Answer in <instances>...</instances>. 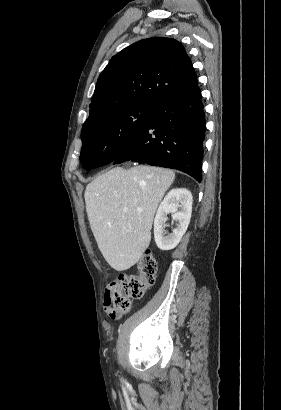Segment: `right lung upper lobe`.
Segmentation results:
<instances>
[{
  "instance_id": "right-lung-upper-lobe-1",
  "label": "right lung upper lobe",
  "mask_w": 281,
  "mask_h": 410,
  "mask_svg": "<svg viewBox=\"0 0 281 410\" xmlns=\"http://www.w3.org/2000/svg\"><path fill=\"white\" fill-rule=\"evenodd\" d=\"M197 85L195 70L180 42L166 37L143 39L112 57L99 75L88 119L110 108L156 107Z\"/></svg>"
}]
</instances>
